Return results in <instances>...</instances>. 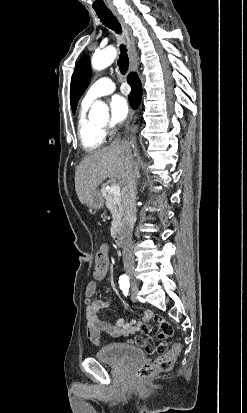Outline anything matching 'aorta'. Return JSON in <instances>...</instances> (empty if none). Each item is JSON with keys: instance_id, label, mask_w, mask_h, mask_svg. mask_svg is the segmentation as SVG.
Masks as SVG:
<instances>
[{"instance_id": "aorta-1", "label": "aorta", "mask_w": 247, "mask_h": 413, "mask_svg": "<svg viewBox=\"0 0 247 413\" xmlns=\"http://www.w3.org/2000/svg\"><path fill=\"white\" fill-rule=\"evenodd\" d=\"M117 56V51L113 47H107L101 51L95 52L91 59L92 68L95 70H102L111 65ZM90 117L99 118L108 115V107L100 102L93 103L90 110Z\"/></svg>"}]
</instances>
